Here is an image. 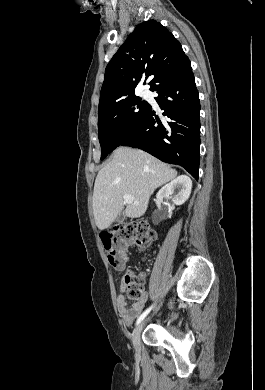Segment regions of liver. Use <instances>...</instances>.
I'll return each mask as SVG.
<instances>
[{"label":"liver","instance_id":"obj_1","mask_svg":"<svg viewBox=\"0 0 265 390\" xmlns=\"http://www.w3.org/2000/svg\"><path fill=\"white\" fill-rule=\"evenodd\" d=\"M176 176L175 169L142 150L117 148L95 180L93 214L97 227L104 230L111 225L123 209L124 195L139 203L129 204L125 216L141 217L153 192Z\"/></svg>","mask_w":265,"mask_h":390}]
</instances>
